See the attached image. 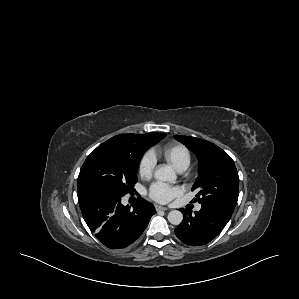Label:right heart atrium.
<instances>
[{"mask_svg": "<svg viewBox=\"0 0 299 299\" xmlns=\"http://www.w3.org/2000/svg\"><path fill=\"white\" fill-rule=\"evenodd\" d=\"M156 166V158L152 152H146L139 162V175L143 179H148L153 175Z\"/></svg>", "mask_w": 299, "mask_h": 299, "instance_id": "right-heart-atrium-1", "label": "right heart atrium"}]
</instances>
